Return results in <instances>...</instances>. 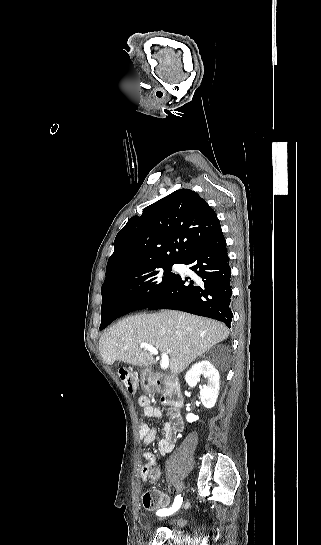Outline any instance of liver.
Wrapping results in <instances>:
<instances>
[{
  "label": "liver",
  "instance_id": "obj_1",
  "mask_svg": "<svg viewBox=\"0 0 321 545\" xmlns=\"http://www.w3.org/2000/svg\"><path fill=\"white\" fill-rule=\"evenodd\" d=\"M229 337L223 323L180 311H160L153 315H133L103 333L99 351L106 365L123 361L135 367L153 365V355L140 343L153 345L161 355H169L173 375H179L197 357Z\"/></svg>",
  "mask_w": 321,
  "mask_h": 545
}]
</instances>
